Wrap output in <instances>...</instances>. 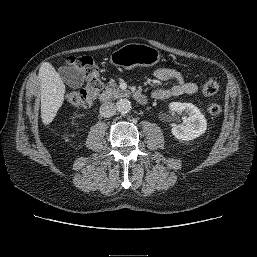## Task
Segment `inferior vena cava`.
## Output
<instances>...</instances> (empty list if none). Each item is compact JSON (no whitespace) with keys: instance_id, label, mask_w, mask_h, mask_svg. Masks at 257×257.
<instances>
[{"instance_id":"1","label":"inferior vena cava","mask_w":257,"mask_h":257,"mask_svg":"<svg viewBox=\"0 0 257 257\" xmlns=\"http://www.w3.org/2000/svg\"><path fill=\"white\" fill-rule=\"evenodd\" d=\"M100 115L103 117H111L116 112V106L112 102H105L100 107Z\"/></svg>"}]
</instances>
